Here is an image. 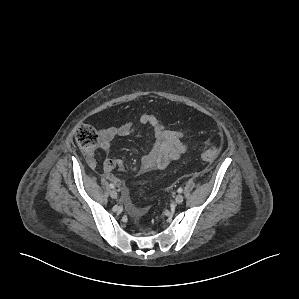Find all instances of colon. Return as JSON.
<instances>
[{
  "instance_id": "colon-1",
  "label": "colon",
  "mask_w": 299,
  "mask_h": 299,
  "mask_svg": "<svg viewBox=\"0 0 299 299\" xmlns=\"http://www.w3.org/2000/svg\"><path fill=\"white\" fill-rule=\"evenodd\" d=\"M76 141L80 148L91 155L99 142V136L96 130L87 124L81 125L76 131ZM221 146L212 144L201 152V157L206 161L214 160L220 153Z\"/></svg>"
}]
</instances>
